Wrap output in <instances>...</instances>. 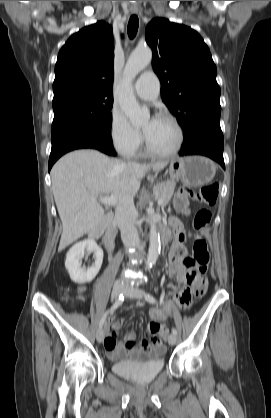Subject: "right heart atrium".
Returning <instances> with one entry per match:
<instances>
[{
    "instance_id": "right-heart-atrium-1",
    "label": "right heart atrium",
    "mask_w": 271,
    "mask_h": 418,
    "mask_svg": "<svg viewBox=\"0 0 271 418\" xmlns=\"http://www.w3.org/2000/svg\"><path fill=\"white\" fill-rule=\"evenodd\" d=\"M109 134L112 145L123 156L135 154L142 144V134L127 119L123 111L114 107L110 114Z\"/></svg>"
}]
</instances>
